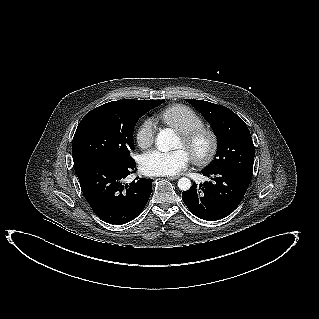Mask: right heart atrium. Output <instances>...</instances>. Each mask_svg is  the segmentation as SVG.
I'll list each match as a JSON object with an SVG mask.
<instances>
[{"instance_id": "1", "label": "right heart atrium", "mask_w": 319, "mask_h": 319, "mask_svg": "<svg viewBox=\"0 0 319 319\" xmlns=\"http://www.w3.org/2000/svg\"><path fill=\"white\" fill-rule=\"evenodd\" d=\"M135 139L142 149L149 148L154 141V124L150 119L142 121L136 129Z\"/></svg>"}]
</instances>
